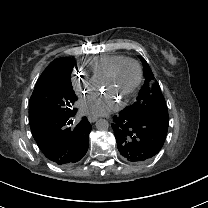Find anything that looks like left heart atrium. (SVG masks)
Masks as SVG:
<instances>
[{
  "instance_id": "1",
  "label": "left heart atrium",
  "mask_w": 208,
  "mask_h": 208,
  "mask_svg": "<svg viewBox=\"0 0 208 208\" xmlns=\"http://www.w3.org/2000/svg\"><path fill=\"white\" fill-rule=\"evenodd\" d=\"M99 99H94L92 96L87 99H83L80 102L82 112L96 116L107 114L112 108V105L110 104L111 101L107 102L104 101V99Z\"/></svg>"
}]
</instances>
